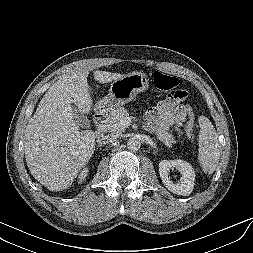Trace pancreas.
<instances>
[{"mask_svg":"<svg viewBox=\"0 0 253 253\" xmlns=\"http://www.w3.org/2000/svg\"><path fill=\"white\" fill-rule=\"evenodd\" d=\"M123 117H129L127 109H125L124 107H119L118 109H115L111 113L110 119L108 120V123L106 125V130L112 134H118L123 131L124 128L120 126V119ZM156 135L157 138L168 147H171L172 144L175 142L174 136L165 130H158L156 132Z\"/></svg>","mask_w":253,"mask_h":253,"instance_id":"pancreas-1","label":"pancreas"}]
</instances>
